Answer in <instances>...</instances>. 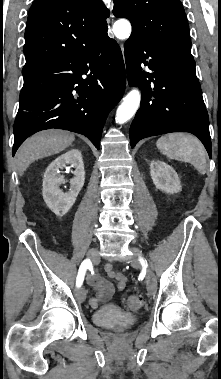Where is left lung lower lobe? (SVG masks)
<instances>
[{"mask_svg": "<svg viewBox=\"0 0 221 379\" xmlns=\"http://www.w3.org/2000/svg\"><path fill=\"white\" fill-rule=\"evenodd\" d=\"M124 54L129 84L142 92L140 109L130 127L131 147L146 137L190 132L211 157L208 113L195 61L166 52L133 33Z\"/></svg>", "mask_w": 221, "mask_h": 379, "instance_id": "1", "label": "left lung lower lobe"}]
</instances>
